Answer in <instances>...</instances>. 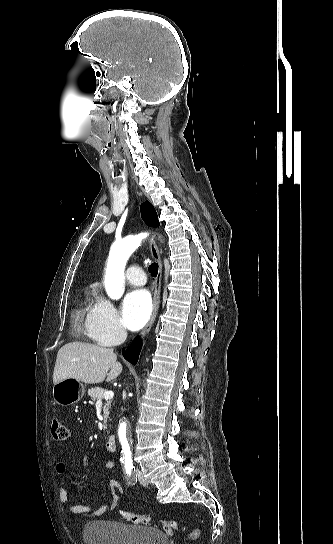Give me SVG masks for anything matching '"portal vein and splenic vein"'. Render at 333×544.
Here are the masks:
<instances>
[{
	"instance_id": "18ae733b",
	"label": "portal vein and splenic vein",
	"mask_w": 333,
	"mask_h": 544,
	"mask_svg": "<svg viewBox=\"0 0 333 544\" xmlns=\"http://www.w3.org/2000/svg\"><path fill=\"white\" fill-rule=\"evenodd\" d=\"M113 396H114L113 391H106V392L104 393V398H105V399H112Z\"/></svg>"
}]
</instances>
